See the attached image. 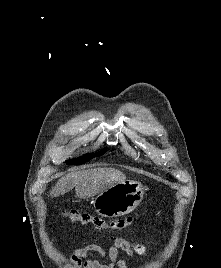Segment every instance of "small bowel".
<instances>
[{"label": "small bowel", "mask_w": 221, "mask_h": 268, "mask_svg": "<svg viewBox=\"0 0 221 268\" xmlns=\"http://www.w3.org/2000/svg\"><path fill=\"white\" fill-rule=\"evenodd\" d=\"M108 239L112 245L105 249L97 244H87L84 247L75 249L71 256V263L74 268H128L125 259H119L120 251L126 252L129 256L147 254L146 246L142 243L131 242L123 237L109 235ZM107 257V262H102Z\"/></svg>", "instance_id": "small-bowel-1"}]
</instances>
